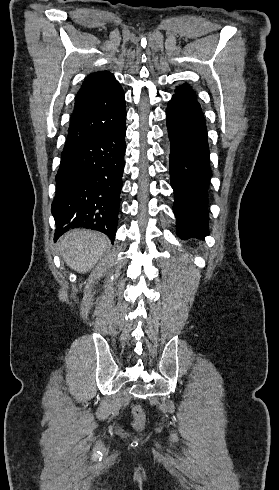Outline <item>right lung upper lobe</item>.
Masks as SVG:
<instances>
[{
	"label": "right lung upper lobe",
	"instance_id": "obj_1",
	"mask_svg": "<svg viewBox=\"0 0 279 490\" xmlns=\"http://www.w3.org/2000/svg\"><path fill=\"white\" fill-rule=\"evenodd\" d=\"M124 93L109 71L88 75L75 98L65 147L100 136L125 121Z\"/></svg>",
	"mask_w": 279,
	"mask_h": 490
}]
</instances>
